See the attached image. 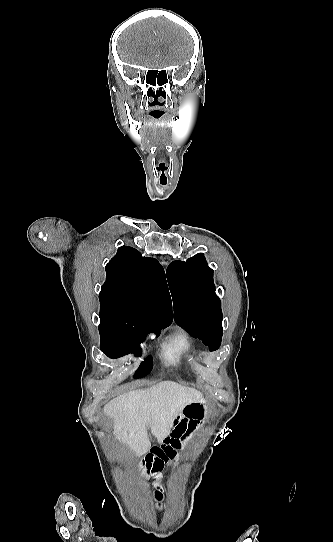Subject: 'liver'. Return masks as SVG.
Here are the masks:
<instances>
[{"instance_id": "6515ba94", "label": "liver", "mask_w": 333, "mask_h": 542, "mask_svg": "<svg viewBox=\"0 0 333 542\" xmlns=\"http://www.w3.org/2000/svg\"><path fill=\"white\" fill-rule=\"evenodd\" d=\"M195 388H185L176 382H160L148 390H133L121 394L104 408V414L114 420V434L140 458L151 448L147 430L158 444L170 436L173 422L185 406L201 398Z\"/></svg>"}]
</instances>
